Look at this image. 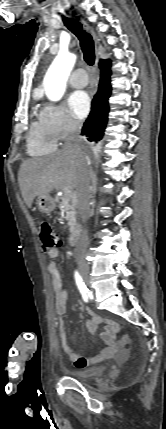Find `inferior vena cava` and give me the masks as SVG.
I'll return each instance as SVG.
<instances>
[{"label": "inferior vena cava", "instance_id": "obj_1", "mask_svg": "<svg viewBox=\"0 0 166 429\" xmlns=\"http://www.w3.org/2000/svg\"><path fill=\"white\" fill-rule=\"evenodd\" d=\"M81 123L78 121L70 120L67 126V138L64 144V149L70 150L81 157V167L79 170L78 184H77V199L78 209L83 222L89 218L90 212V174L91 169L89 166L88 156H84L81 151ZM88 243L87 230L84 229L81 233L80 239L75 248V257L77 260H83Z\"/></svg>", "mask_w": 166, "mask_h": 429}]
</instances>
